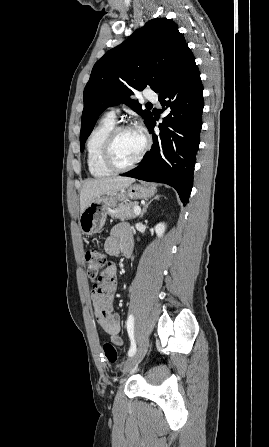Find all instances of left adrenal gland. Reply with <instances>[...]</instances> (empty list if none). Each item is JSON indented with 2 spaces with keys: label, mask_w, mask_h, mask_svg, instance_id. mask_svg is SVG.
Returning <instances> with one entry per match:
<instances>
[{
  "label": "left adrenal gland",
  "mask_w": 269,
  "mask_h": 447,
  "mask_svg": "<svg viewBox=\"0 0 269 447\" xmlns=\"http://www.w3.org/2000/svg\"><path fill=\"white\" fill-rule=\"evenodd\" d=\"M153 200H159V196H155V198H153ZM153 200H150V202H148V204H145V206L141 212L140 218H143L144 214H146V210H147L149 204H151V202H153Z\"/></svg>",
  "instance_id": "obj_1"
}]
</instances>
